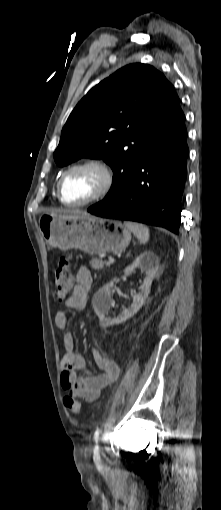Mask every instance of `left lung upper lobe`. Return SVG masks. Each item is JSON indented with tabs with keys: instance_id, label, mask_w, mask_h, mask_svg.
Wrapping results in <instances>:
<instances>
[{
	"instance_id": "5c2ea615",
	"label": "left lung upper lobe",
	"mask_w": 221,
	"mask_h": 510,
	"mask_svg": "<svg viewBox=\"0 0 221 510\" xmlns=\"http://www.w3.org/2000/svg\"><path fill=\"white\" fill-rule=\"evenodd\" d=\"M173 85L146 64L127 65L93 87L62 129L54 160L65 166L82 157L103 159L114 172L99 202L117 197L148 151L186 129Z\"/></svg>"
}]
</instances>
